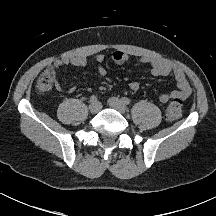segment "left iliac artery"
Masks as SVG:
<instances>
[{"label": "left iliac artery", "instance_id": "left-iliac-artery-1", "mask_svg": "<svg viewBox=\"0 0 216 216\" xmlns=\"http://www.w3.org/2000/svg\"><path fill=\"white\" fill-rule=\"evenodd\" d=\"M122 102H123L125 105H129L131 101H130L129 98L123 97V98H122Z\"/></svg>", "mask_w": 216, "mask_h": 216}]
</instances>
